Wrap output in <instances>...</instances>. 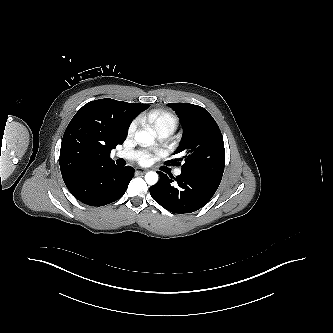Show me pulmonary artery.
Here are the masks:
<instances>
[{"mask_svg":"<svg viewBox=\"0 0 333 333\" xmlns=\"http://www.w3.org/2000/svg\"><path fill=\"white\" fill-rule=\"evenodd\" d=\"M172 130L171 129H164L158 132V136L160 139H166L167 137H169L172 134ZM115 156L117 158H123L126 160H133L139 157V154L135 151L132 150H123V151H119L115 154ZM175 175H180L181 174V170L180 169H176L175 170Z\"/></svg>","mask_w":333,"mask_h":333,"instance_id":"pulmonary-artery-1","label":"pulmonary artery"}]
</instances>
